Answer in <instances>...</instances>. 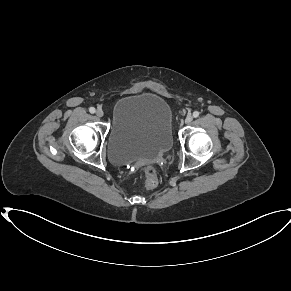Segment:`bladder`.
<instances>
[{"label": "bladder", "mask_w": 291, "mask_h": 291, "mask_svg": "<svg viewBox=\"0 0 291 291\" xmlns=\"http://www.w3.org/2000/svg\"><path fill=\"white\" fill-rule=\"evenodd\" d=\"M173 145L172 109L165 98L151 92L119 98L111 111L108 158L116 166L152 159Z\"/></svg>", "instance_id": "obj_1"}]
</instances>
